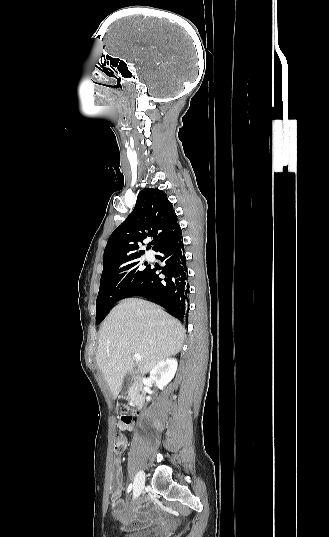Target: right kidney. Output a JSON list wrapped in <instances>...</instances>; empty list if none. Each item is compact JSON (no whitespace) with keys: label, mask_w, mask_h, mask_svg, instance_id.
<instances>
[{"label":"right kidney","mask_w":329,"mask_h":537,"mask_svg":"<svg viewBox=\"0 0 329 537\" xmlns=\"http://www.w3.org/2000/svg\"><path fill=\"white\" fill-rule=\"evenodd\" d=\"M176 370V359L162 360L150 371V379L162 390L173 379ZM150 399L149 396L146 398L147 401Z\"/></svg>","instance_id":"obj_1"}]
</instances>
